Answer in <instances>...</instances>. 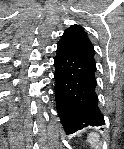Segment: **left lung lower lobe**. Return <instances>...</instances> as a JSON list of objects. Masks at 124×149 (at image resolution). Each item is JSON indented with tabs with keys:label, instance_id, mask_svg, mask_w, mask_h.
<instances>
[{
	"label": "left lung lower lobe",
	"instance_id": "left-lung-lower-lobe-1",
	"mask_svg": "<svg viewBox=\"0 0 124 149\" xmlns=\"http://www.w3.org/2000/svg\"><path fill=\"white\" fill-rule=\"evenodd\" d=\"M55 66L57 112L67 134L104 125L95 92L96 63L65 37L58 42Z\"/></svg>",
	"mask_w": 124,
	"mask_h": 149
}]
</instances>
